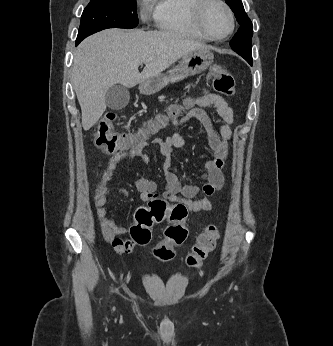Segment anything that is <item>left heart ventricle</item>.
<instances>
[{
  "mask_svg": "<svg viewBox=\"0 0 333 346\" xmlns=\"http://www.w3.org/2000/svg\"><path fill=\"white\" fill-rule=\"evenodd\" d=\"M205 24L209 31L216 36H222L230 29L229 17L219 4H211L207 8Z\"/></svg>",
  "mask_w": 333,
  "mask_h": 346,
  "instance_id": "left-heart-ventricle-1",
  "label": "left heart ventricle"
}]
</instances>
